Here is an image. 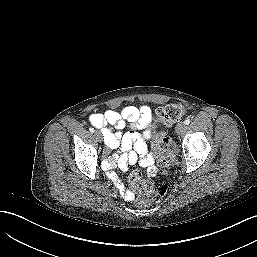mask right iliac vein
I'll return each instance as SVG.
<instances>
[{
	"label": "right iliac vein",
	"instance_id": "obj_1",
	"mask_svg": "<svg viewBox=\"0 0 257 257\" xmlns=\"http://www.w3.org/2000/svg\"><path fill=\"white\" fill-rule=\"evenodd\" d=\"M95 136L97 137V139L101 142L102 141V134L100 131H95Z\"/></svg>",
	"mask_w": 257,
	"mask_h": 257
}]
</instances>
